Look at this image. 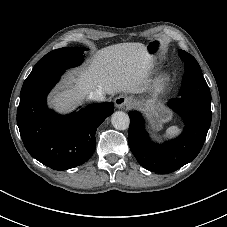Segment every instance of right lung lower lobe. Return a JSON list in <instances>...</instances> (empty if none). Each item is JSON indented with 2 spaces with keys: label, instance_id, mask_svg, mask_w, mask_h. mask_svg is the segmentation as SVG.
<instances>
[{
  "label": "right lung lower lobe",
  "instance_id": "98d812e1",
  "mask_svg": "<svg viewBox=\"0 0 227 227\" xmlns=\"http://www.w3.org/2000/svg\"><path fill=\"white\" fill-rule=\"evenodd\" d=\"M64 70H54L24 82L17 109V124L29 154L42 164L66 170L86 162L96 148L95 133L113 113V102L91 104L68 116L46 105V96Z\"/></svg>",
  "mask_w": 227,
  "mask_h": 227
}]
</instances>
